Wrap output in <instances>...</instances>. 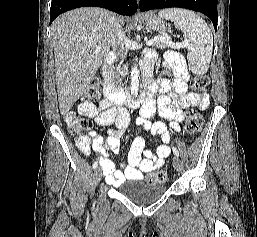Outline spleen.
<instances>
[{"instance_id":"1","label":"spleen","mask_w":257,"mask_h":237,"mask_svg":"<svg viewBox=\"0 0 257 237\" xmlns=\"http://www.w3.org/2000/svg\"><path fill=\"white\" fill-rule=\"evenodd\" d=\"M159 17L174 22L191 42L187 54L190 70L196 75L205 74L210 65L213 50V35L207 23L195 13L185 9H164Z\"/></svg>"}]
</instances>
